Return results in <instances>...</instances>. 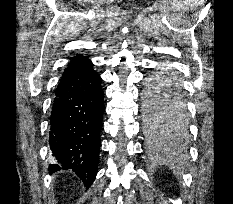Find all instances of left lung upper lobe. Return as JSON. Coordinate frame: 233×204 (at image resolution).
<instances>
[{
    "label": "left lung upper lobe",
    "instance_id": "1",
    "mask_svg": "<svg viewBox=\"0 0 233 204\" xmlns=\"http://www.w3.org/2000/svg\"><path fill=\"white\" fill-rule=\"evenodd\" d=\"M151 89L144 93L143 114L148 129L173 126L185 130L188 126V110L179 82L154 76Z\"/></svg>",
    "mask_w": 233,
    "mask_h": 204
}]
</instances>
